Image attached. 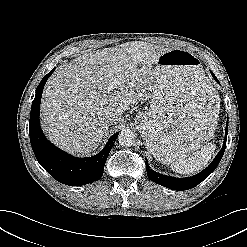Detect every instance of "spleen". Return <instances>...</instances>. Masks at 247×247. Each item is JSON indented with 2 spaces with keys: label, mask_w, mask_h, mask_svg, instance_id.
I'll return each instance as SVG.
<instances>
[{
  "label": "spleen",
  "mask_w": 247,
  "mask_h": 247,
  "mask_svg": "<svg viewBox=\"0 0 247 247\" xmlns=\"http://www.w3.org/2000/svg\"><path fill=\"white\" fill-rule=\"evenodd\" d=\"M217 98L219 101L218 95ZM213 133L214 132H212V135ZM215 149V144L207 143L202 146L200 151L194 152L188 159L173 162L170 167L173 171L183 175L199 172L207 166L209 160L214 154Z\"/></svg>",
  "instance_id": "spleen-1"
}]
</instances>
